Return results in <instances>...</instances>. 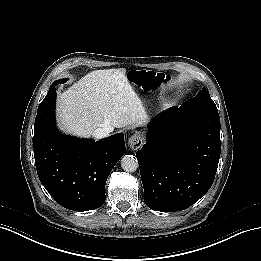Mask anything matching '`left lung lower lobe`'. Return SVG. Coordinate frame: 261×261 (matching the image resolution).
I'll use <instances>...</instances> for the list:
<instances>
[{
  "label": "left lung lower lobe",
  "mask_w": 261,
  "mask_h": 261,
  "mask_svg": "<svg viewBox=\"0 0 261 261\" xmlns=\"http://www.w3.org/2000/svg\"><path fill=\"white\" fill-rule=\"evenodd\" d=\"M220 151L216 105L191 99L158 116L136 153L146 205L162 212L190 207L211 187Z\"/></svg>",
  "instance_id": "0a47b994"
}]
</instances>
